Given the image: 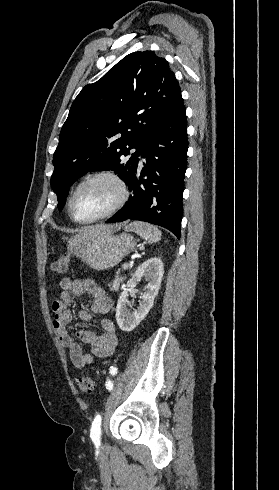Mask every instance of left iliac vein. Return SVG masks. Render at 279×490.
<instances>
[{"label": "left iliac vein", "mask_w": 279, "mask_h": 490, "mask_svg": "<svg viewBox=\"0 0 279 490\" xmlns=\"http://www.w3.org/2000/svg\"><path fill=\"white\" fill-rule=\"evenodd\" d=\"M104 446H105V444H104V443H102V444H101V448H100V449H103V448H104Z\"/></svg>", "instance_id": "left-iliac-vein-1"}]
</instances>
